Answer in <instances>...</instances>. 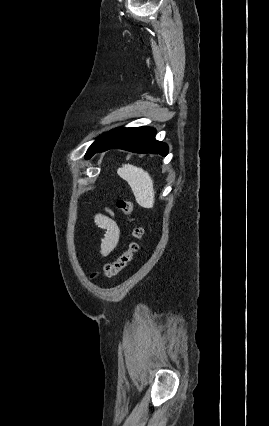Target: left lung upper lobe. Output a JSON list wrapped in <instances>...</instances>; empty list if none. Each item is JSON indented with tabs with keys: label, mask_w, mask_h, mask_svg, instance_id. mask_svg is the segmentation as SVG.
Returning a JSON list of instances; mask_svg holds the SVG:
<instances>
[{
	"label": "left lung upper lobe",
	"mask_w": 269,
	"mask_h": 426,
	"mask_svg": "<svg viewBox=\"0 0 269 426\" xmlns=\"http://www.w3.org/2000/svg\"><path fill=\"white\" fill-rule=\"evenodd\" d=\"M106 134L101 135L88 149L85 158L87 159L90 155V153L93 151L94 148H96L105 138Z\"/></svg>",
	"instance_id": "5c2ea615"
}]
</instances>
